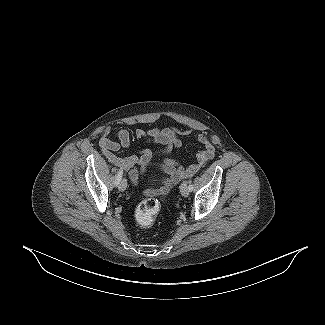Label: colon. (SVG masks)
<instances>
[{
	"label": "colon",
	"instance_id": "1",
	"mask_svg": "<svg viewBox=\"0 0 325 325\" xmlns=\"http://www.w3.org/2000/svg\"><path fill=\"white\" fill-rule=\"evenodd\" d=\"M160 209V203L154 198H147L140 203L135 211V220L140 227L148 228L152 225Z\"/></svg>",
	"mask_w": 325,
	"mask_h": 325
}]
</instances>
